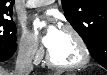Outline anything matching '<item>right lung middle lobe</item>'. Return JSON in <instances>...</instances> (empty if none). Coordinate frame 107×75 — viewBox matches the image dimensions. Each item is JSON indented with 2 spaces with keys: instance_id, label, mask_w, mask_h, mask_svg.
<instances>
[{
  "instance_id": "1",
  "label": "right lung middle lobe",
  "mask_w": 107,
  "mask_h": 75,
  "mask_svg": "<svg viewBox=\"0 0 107 75\" xmlns=\"http://www.w3.org/2000/svg\"><path fill=\"white\" fill-rule=\"evenodd\" d=\"M16 44V27L12 20L0 17V47Z\"/></svg>"
}]
</instances>
